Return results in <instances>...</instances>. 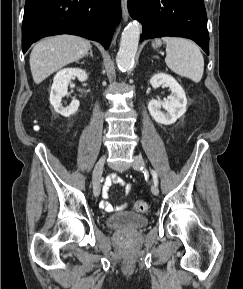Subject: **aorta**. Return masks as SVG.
<instances>
[{
	"instance_id": "1",
	"label": "aorta",
	"mask_w": 243,
	"mask_h": 289,
	"mask_svg": "<svg viewBox=\"0 0 243 289\" xmlns=\"http://www.w3.org/2000/svg\"><path fill=\"white\" fill-rule=\"evenodd\" d=\"M141 32V24L137 21L129 23L121 35L120 47L116 57V63L121 70H129L138 49Z\"/></svg>"
}]
</instances>
